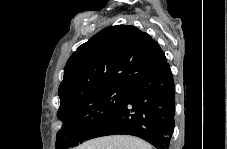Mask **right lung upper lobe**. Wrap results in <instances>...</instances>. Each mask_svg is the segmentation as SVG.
<instances>
[{
  "label": "right lung upper lobe",
  "mask_w": 227,
  "mask_h": 149,
  "mask_svg": "<svg viewBox=\"0 0 227 149\" xmlns=\"http://www.w3.org/2000/svg\"><path fill=\"white\" fill-rule=\"evenodd\" d=\"M167 63L159 44L135 26L98 32L68 59L59 86L60 107L110 85L129 87Z\"/></svg>",
  "instance_id": "obj_1"
}]
</instances>
